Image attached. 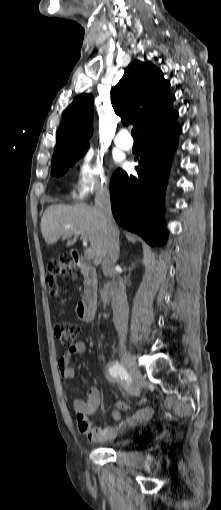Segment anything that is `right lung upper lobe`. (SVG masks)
Segmentation results:
<instances>
[{
	"instance_id": "right-lung-upper-lobe-1",
	"label": "right lung upper lobe",
	"mask_w": 221,
	"mask_h": 510,
	"mask_svg": "<svg viewBox=\"0 0 221 510\" xmlns=\"http://www.w3.org/2000/svg\"><path fill=\"white\" fill-rule=\"evenodd\" d=\"M162 71L150 62L135 61L111 91V103L123 124H140L141 133L158 127L178 116L175 99ZM93 97L79 95L65 110L57 136L54 158L72 149L89 147L92 134Z\"/></svg>"
}]
</instances>
